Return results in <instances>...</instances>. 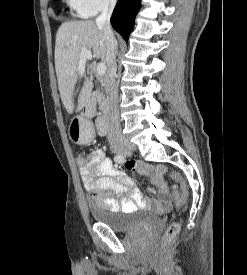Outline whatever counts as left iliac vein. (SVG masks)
Masks as SVG:
<instances>
[{
    "mask_svg": "<svg viewBox=\"0 0 247 275\" xmlns=\"http://www.w3.org/2000/svg\"><path fill=\"white\" fill-rule=\"evenodd\" d=\"M126 156H130L131 155V152H126V153H124Z\"/></svg>",
    "mask_w": 247,
    "mask_h": 275,
    "instance_id": "4c4485c4",
    "label": "left iliac vein"
}]
</instances>
